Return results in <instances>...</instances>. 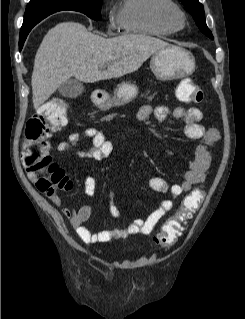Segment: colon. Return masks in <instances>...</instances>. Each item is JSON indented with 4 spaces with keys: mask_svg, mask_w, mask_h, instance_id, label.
I'll use <instances>...</instances> for the list:
<instances>
[{
    "mask_svg": "<svg viewBox=\"0 0 245 319\" xmlns=\"http://www.w3.org/2000/svg\"><path fill=\"white\" fill-rule=\"evenodd\" d=\"M191 81V80H190ZM179 98L186 102H199L203 91L192 83L180 85ZM67 104L62 100L48 102L43 111L27 120L22 145V163L28 173L37 176V188L51 196L57 190H69L72 182L53 160L49 138L67 124ZM205 192L202 187L191 191L183 200L179 211L170 218L156 235V242L163 247L174 244L182 224L200 207Z\"/></svg>",
    "mask_w": 245,
    "mask_h": 319,
    "instance_id": "1",
    "label": "colon"
}]
</instances>
